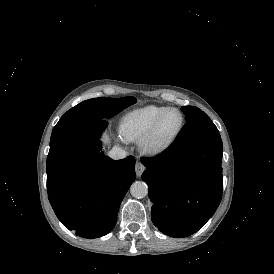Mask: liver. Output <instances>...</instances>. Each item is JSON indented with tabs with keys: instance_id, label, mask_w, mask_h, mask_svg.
Masks as SVG:
<instances>
[{
	"instance_id": "1",
	"label": "liver",
	"mask_w": 274,
	"mask_h": 274,
	"mask_svg": "<svg viewBox=\"0 0 274 274\" xmlns=\"http://www.w3.org/2000/svg\"><path fill=\"white\" fill-rule=\"evenodd\" d=\"M102 141L107 145L110 144V138L106 133L103 135Z\"/></svg>"
}]
</instances>
